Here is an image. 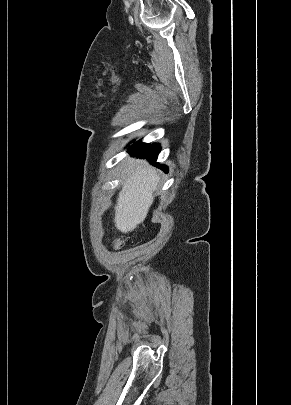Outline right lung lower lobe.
Instances as JSON below:
<instances>
[{
    "label": "right lung lower lobe",
    "instance_id": "1",
    "mask_svg": "<svg viewBox=\"0 0 291 405\" xmlns=\"http://www.w3.org/2000/svg\"><path fill=\"white\" fill-rule=\"evenodd\" d=\"M161 150L159 144H143L141 142H136L132 146L129 147L128 151L130 154L135 155L137 158L147 159L151 163L156 164V159ZM165 172H168V168L166 166H159Z\"/></svg>",
    "mask_w": 291,
    "mask_h": 405
}]
</instances>
